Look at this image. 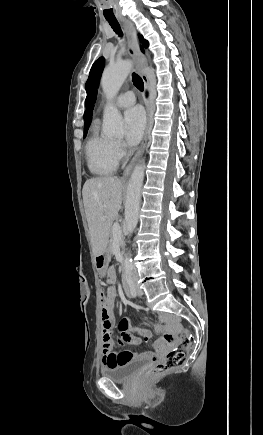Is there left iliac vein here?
Wrapping results in <instances>:
<instances>
[{"label": "left iliac vein", "mask_w": 263, "mask_h": 435, "mask_svg": "<svg viewBox=\"0 0 263 435\" xmlns=\"http://www.w3.org/2000/svg\"><path fill=\"white\" fill-rule=\"evenodd\" d=\"M135 289L139 296L143 295V290L136 284V275L134 274Z\"/></svg>", "instance_id": "4c4485c4"}]
</instances>
